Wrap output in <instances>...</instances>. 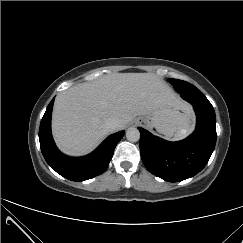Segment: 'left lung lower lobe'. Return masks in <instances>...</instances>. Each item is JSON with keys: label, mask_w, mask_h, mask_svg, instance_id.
I'll return each mask as SVG.
<instances>
[{"label": "left lung lower lobe", "mask_w": 243, "mask_h": 243, "mask_svg": "<svg viewBox=\"0 0 243 243\" xmlns=\"http://www.w3.org/2000/svg\"><path fill=\"white\" fill-rule=\"evenodd\" d=\"M176 91L196 112L197 124L192 135L179 142H169L138 127L145 167L168 182L182 181L199 173L209 161L217 138L215 111L204 94L192 84Z\"/></svg>", "instance_id": "obj_1"}]
</instances>
